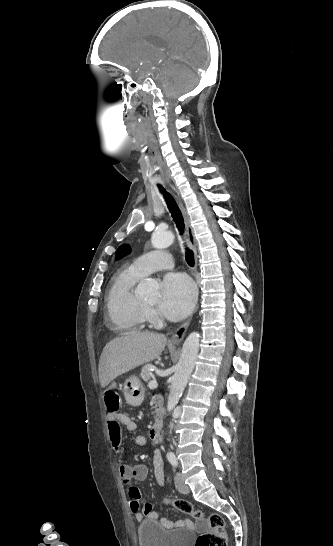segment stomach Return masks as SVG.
I'll use <instances>...</instances> for the list:
<instances>
[{"label": "stomach", "instance_id": "stomach-1", "mask_svg": "<svg viewBox=\"0 0 333 546\" xmlns=\"http://www.w3.org/2000/svg\"><path fill=\"white\" fill-rule=\"evenodd\" d=\"M126 402L132 406H138L144 399V388L136 376L129 377L123 387Z\"/></svg>", "mask_w": 333, "mask_h": 546}]
</instances>
